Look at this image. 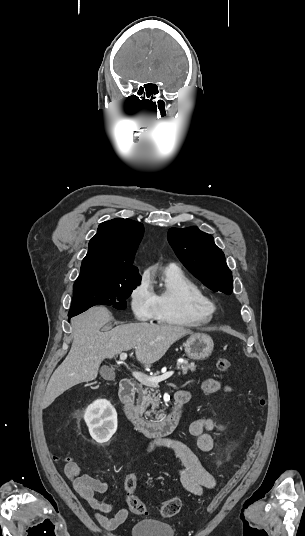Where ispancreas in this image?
<instances>
[{"label": "pancreas", "instance_id": "obj_1", "mask_svg": "<svg viewBox=\"0 0 305 536\" xmlns=\"http://www.w3.org/2000/svg\"><path fill=\"white\" fill-rule=\"evenodd\" d=\"M177 370H182V372H178L179 376L180 374H187L188 370H191V372H195L196 366L194 362H187V360H184L183 364H176ZM159 372H156L154 376H158ZM154 376H150V378H154ZM143 386H146V388H143ZM138 394L137 398V406L135 410H139L141 414H145V418H150V420H154L153 414H156L155 418L157 416H162V414H159L157 412V408H159V402H160V394H158L159 390H155V386H152V384H137V390ZM149 406H152L151 410H147Z\"/></svg>", "mask_w": 305, "mask_h": 536}]
</instances>
